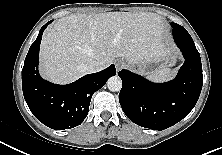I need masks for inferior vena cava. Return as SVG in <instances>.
<instances>
[{
  "label": "inferior vena cava",
  "mask_w": 222,
  "mask_h": 155,
  "mask_svg": "<svg viewBox=\"0 0 222 155\" xmlns=\"http://www.w3.org/2000/svg\"><path fill=\"white\" fill-rule=\"evenodd\" d=\"M86 70L88 73H95L102 70L101 64L97 61H91L87 66Z\"/></svg>",
  "instance_id": "602c4592"
}]
</instances>
